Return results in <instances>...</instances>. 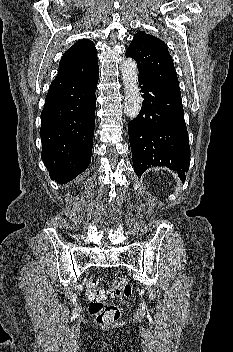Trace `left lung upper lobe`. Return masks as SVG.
Returning a JSON list of instances; mask_svg holds the SVG:
<instances>
[{
    "label": "left lung upper lobe",
    "mask_w": 233,
    "mask_h": 352,
    "mask_svg": "<svg viewBox=\"0 0 233 352\" xmlns=\"http://www.w3.org/2000/svg\"><path fill=\"white\" fill-rule=\"evenodd\" d=\"M137 62L139 75L181 96L173 60L166 44L144 31L137 32L126 51Z\"/></svg>",
    "instance_id": "left-lung-upper-lobe-1"
}]
</instances>
